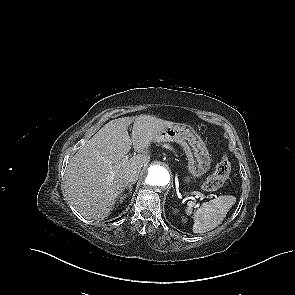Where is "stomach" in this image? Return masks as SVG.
Wrapping results in <instances>:
<instances>
[{
    "instance_id": "stomach-1",
    "label": "stomach",
    "mask_w": 295,
    "mask_h": 295,
    "mask_svg": "<svg viewBox=\"0 0 295 295\" xmlns=\"http://www.w3.org/2000/svg\"><path fill=\"white\" fill-rule=\"evenodd\" d=\"M157 142L179 143L187 156L188 172L185 183L204 175L210 168L211 159L205 143L194 129L185 124H175L161 129L155 136Z\"/></svg>"
}]
</instances>
